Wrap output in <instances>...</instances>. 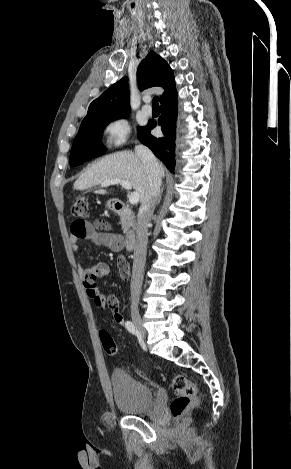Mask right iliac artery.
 Here are the masks:
<instances>
[{
	"label": "right iliac artery",
	"instance_id": "82829eb1",
	"mask_svg": "<svg viewBox=\"0 0 291 469\" xmlns=\"http://www.w3.org/2000/svg\"><path fill=\"white\" fill-rule=\"evenodd\" d=\"M125 327H126V329H127L130 333H132V334H134V335L137 334V329H136V327L134 326V324H133L131 321H127V322L125 323Z\"/></svg>",
	"mask_w": 291,
	"mask_h": 469
}]
</instances>
